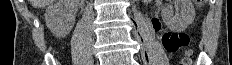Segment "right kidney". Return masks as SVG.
<instances>
[{"instance_id": "1", "label": "right kidney", "mask_w": 232, "mask_h": 65, "mask_svg": "<svg viewBox=\"0 0 232 65\" xmlns=\"http://www.w3.org/2000/svg\"><path fill=\"white\" fill-rule=\"evenodd\" d=\"M78 0H56L46 9L45 22L56 37H65L74 26Z\"/></svg>"}]
</instances>
